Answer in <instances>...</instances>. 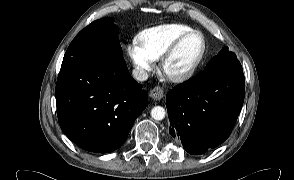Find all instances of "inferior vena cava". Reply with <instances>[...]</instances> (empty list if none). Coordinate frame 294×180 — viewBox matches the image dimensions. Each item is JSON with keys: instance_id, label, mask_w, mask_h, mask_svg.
I'll return each mask as SVG.
<instances>
[{"instance_id": "1", "label": "inferior vena cava", "mask_w": 294, "mask_h": 180, "mask_svg": "<svg viewBox=\"0 0 294 180\" xmlns=\"http://www.w3.org/2000/svg\"><path fill=\"white\" fill-rule=\"evenodd\" d=\"M132 75L134 79L138 81H146L149 77V74L147 73V71H145L143 68H140V67H136L135 69H133Z\"/></svg>"}]
</instances>
